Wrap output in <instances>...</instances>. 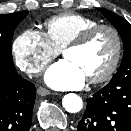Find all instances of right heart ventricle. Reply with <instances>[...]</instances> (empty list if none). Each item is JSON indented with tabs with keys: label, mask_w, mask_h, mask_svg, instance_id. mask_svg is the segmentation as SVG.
<instances>
[{
	"label": "right heart ventricle",
	"mask_w": 131,
	"mask_h": 131,
	"mask_svg": "<svg viewBox=\"0 0 131 131\" xmlns=\"http://www.w3.org/2000/svg\"><path fill=\"white\" fill-rule=\"evenodd\" d=\"M98 21L76 13H66L48 19L44 26L50 43L61 51L82 31L97 25Z\"/></svg>",
	"instance_id": "e07e8e85"
}]
</instances>
